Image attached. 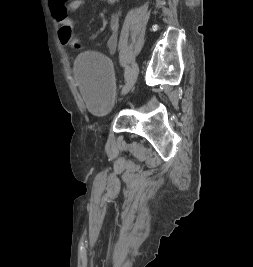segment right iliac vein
<instances>
[{
  "label": "right iliac vein",
  "mask_w": 253,
  "mask_h": 267,
  "mask_svg": "<svg viewBox=\"0 0 253 267\" xmlns=\"http://www.w3.org/2000/svg\"><path fill=\"white\" fill-rule=\"evenodd\" d=\"M137 75H138V67L136 64H133L131 71H130V75L128 79L126 80V84L122 90L123 95H126L132 89L133 85L136 82Z\"/></svg>",
  "instance_id": "obj_1"
}]
</instances>
